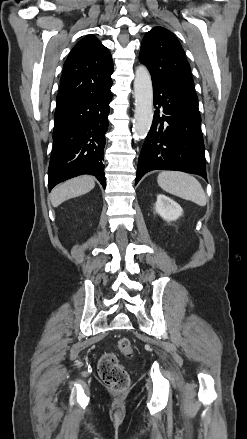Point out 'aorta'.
Returning <instances> with one entry per match:
<instances>
[{
	"mask_svg": "<svg viewBox=\"0 0 247 439\" xmlns=\"http://www.w3.org/2000/svg\"><path fill=\"white\" fill-rule=\"evenodd\" d=\"M135 113L133 136L136 140L144 139L153 120V87L148 69L139 66L134 79Z\"/></svg>",
	"mask_w": 247,
	"mask_h": 439,
	"instance_id": "762f6f07",
	"label": "aorta"
}]
</instances>
